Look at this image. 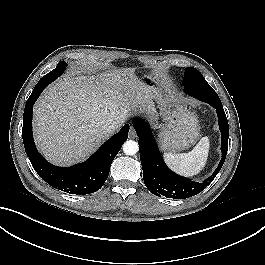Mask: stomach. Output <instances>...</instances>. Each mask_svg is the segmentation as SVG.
Segmentation results:
<instances>
[{
  "label": "stomach",
  "instance_id": "0dacf381",
  "mask_svg": "<svg viewBox=\"0 0 265 265\" xmlns=\"http://www.w3.org/2000/svg\"><path fill=\"white\" fill-rule=\"evenodd\" d=\"M141 81L147 86L149 96L157 104L163 119L158 135L161 149L176 152L194 144L200 130L196 116L170 98L156 77L144 75Z\"/></svg>",
  "mask_w": 265,
  "mask_h": 265
}]
</instances>
